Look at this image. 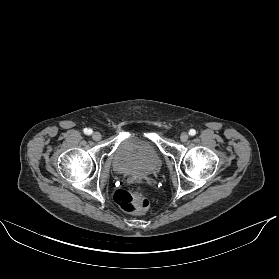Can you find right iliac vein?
Instances as JSON below:
<instances>
[{
	"mask_svg": "<svg viewBox=\"0 0 279 279\" xmlns=\"http://www.w3.org/2000/svg\"><path fill=\"white\" fill-rule=\"evenodd\" d=\"M92 138L93 140L98 141L101 139V134L99 132H94Z\"/></svg>",
	"mask_w": 279,
	"mask_h": 279,
	"instance_id": "1",
	"label": "right iliac vein"
}]
</instances>
